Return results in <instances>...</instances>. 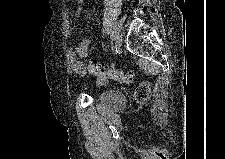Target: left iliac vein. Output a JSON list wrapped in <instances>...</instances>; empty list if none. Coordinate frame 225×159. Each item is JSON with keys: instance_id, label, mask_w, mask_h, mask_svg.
Here are the masks:
<instances>
[{"instance_id": "4c4485c4", "label": "left iliac vein", "mask_w": 225, "mask_h": 159, "mask_svg": "<svg viewBox=\"0 0 225 159\" xmlns=\"http://www.w3.org/2000/svg\"><path fill=\"white\" fill-rule=\"evenodd\" d=\"M114 40H115V43H114V47L115 49H119L120 46H121V43H122V36L120 33H116L114 35Z\"/></svg>"}]
</instances>
